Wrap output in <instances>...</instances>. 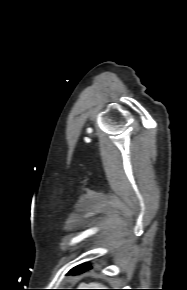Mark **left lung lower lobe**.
<instances>
[{"label":"left lung lower lobe","mask_w":187,"mask_h":290,"mask_svg":"<svg viewBox=\"0 0 187 290\" xmlns=\"http://www.w3.org/2000/svg\"><path fill=\"white\" fill-rule=\"evenodd\" d=\"M85 268H89V265H88V264H84V265H82L81 267H79L78 269L73 270V271H75V272H81V271H83Z\"/></svg>","instance_id":"left-lung-lower-lobe-1"}]
</instances>
